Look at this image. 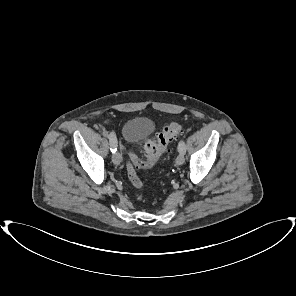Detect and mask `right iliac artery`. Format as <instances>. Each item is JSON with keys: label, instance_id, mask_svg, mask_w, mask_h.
I'll list each match as a JSON object with an SVG mask.
<instances>
[{"label": "right iliac artery", "instance_id": "1", "mask_svg": "<svg viewBox=\"0 0 296 296\" xmlns=\"http://www.w3.org/2000/svg\"><path fill=\"white\" fill-rule=\"evenodd\" d=\"M104 135L109 137L110 146H111L110 150L112 153H115V151L117 150V148H116L117 147V139H116L115 134L113 132H110L108 134V132L106 131V132H104Z\"/></svg>", "mask_w": 296, "mask_h": 296}]
</instances>
